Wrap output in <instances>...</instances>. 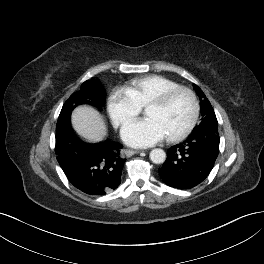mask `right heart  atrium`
Segmentation results:
<instances>
[{
  "instance_id": "obj_1",
  "label": "right heart atrium",
  "mask_w": 264,
  "mask_h": 264,
  "mask_svg": "<svg viewBox=\"0 0 264 264\" xmlns=\"http://www.w3.org/2000/svg\"><path fill=\"white\" fill-rule=\"evenodd\" d=\"M107 109L116 126L127 125L141 111V108L124 89H117L109 96Z\"/></svg>"
}]
</instances>
